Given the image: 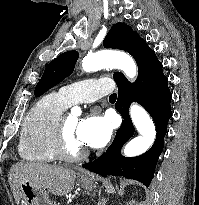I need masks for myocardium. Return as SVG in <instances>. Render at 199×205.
<instances>
[{"mask_svg":"<svg viewBox=\"0 0 199 205\" xmlns=\"http://www.w3.org/2000/svg\"><path fill=\"white\" fill-rule=\"evenodd\" d=\"M68 115H61L53 131L51 149L55 157L66 162H74L84 158L88 151L85 148L70 150L66 143V119Z\"/></svg>","mask_w":199,"mask_h":205,"instance_id":"f54148a6","label":"myocardium"}]
</instances>
